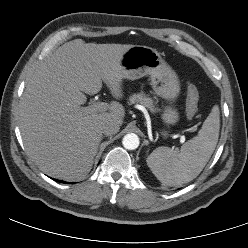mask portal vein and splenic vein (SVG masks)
Here are the masks:
<instances>
[{
    "label": "portal vein and splenic vein",
    "mask_w": 248,
    "mask_h": 248,
    "mask_svg": "<svg viewBox=\"0 0 248 248\" xmlns=\"http://www.w3.org/2000/svg\"><path fill=\"white\" fill-rule=\"evenodd\" d=\"M91 112H106L109 108V104L105 102H95L91 107H88Z\"/></svg>",
    "instance_id": "18ae733b"
}]
</instances>
